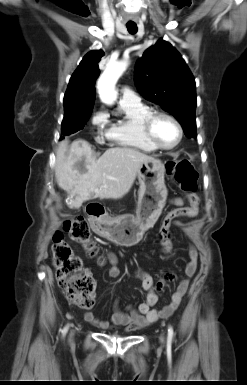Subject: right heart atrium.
Wrapping results in <instances>:
<instances>
[{
  "mask_svg": "<svg viewBox=\"0 0 247 385\" xmlns=\"http://www.w3.org/2000/svg\"><path fill=\"white\" fill-rule=\"evenodd\" d=\"M107 121H108V116L106 112L103 110L96 111L91 119L92 125L96 129H101L102 127H104Z\"/></svg>",
  "mask_w": 247,
  "mask_h": 385,
  "instance_id": "d8ad5b80",
  "label": "right heart atrium"
}]
</instances>
